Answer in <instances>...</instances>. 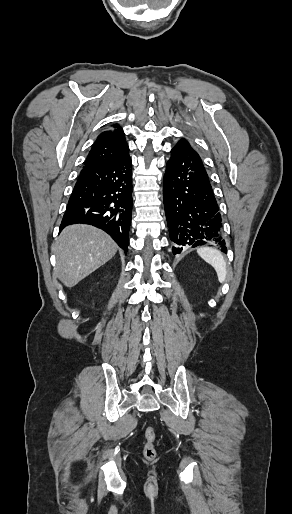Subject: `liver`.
<instances>
[{"mask_svg": "<svg viewBox=\"0 0 292 514\" xmlns=\"http://www.w3.org/2000/svg\"><path fill=\"white\" fill-rule=\"evenodd\" d=\"M52 250L56 256L57 278L67 288H73L111 260L117 252V244L103 230L75 224L64 228Z\"/></svg>", "mask_w": 292, "mask_h": 514, "instance_id": "liver-1", "label": "liver"}]
</instances>
